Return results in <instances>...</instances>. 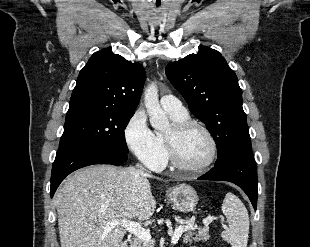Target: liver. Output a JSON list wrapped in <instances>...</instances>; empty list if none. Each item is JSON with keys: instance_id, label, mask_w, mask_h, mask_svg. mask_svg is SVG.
I'll list each match as a JSON object with an SVG mask.
<instances>
[{"instance_id": "obj_1", "label": "liver", "mask_w": 310, "mask_h": 247, "mask_svg": "<svg viewBox=\"0 0 310 247\" xmlns=\"http://www.w3.org/2000/svg\"><path fill=\"white\" fill-rule=\"evenodd\" d=\"M135 167L95 165L67 177L54 195L61 247H117L125 229L112 220H148L156 201L148 178Z\"/></svg>"}]
</instances>
